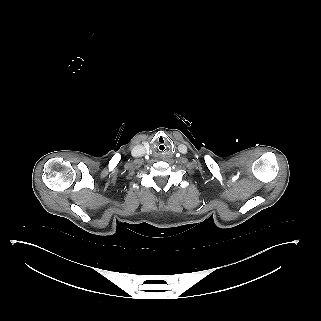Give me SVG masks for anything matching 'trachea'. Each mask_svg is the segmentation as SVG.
<instances>
[{
    "mask_svg": "<svg viewBox=\"0 0 321 321\" xmlns=\"http://www.w3.org/2000/svg\"><path fill=\"white\" fill-rule=\"evenodd\" d=\"M157 150H158L159 152H164V151L166 150V145H165L164 143H159V144L157 145Z\"/></svg>",
    "mask_w": 321,
    "mask_h": 321,
    "instance_id": "1",
    "label": "trachea"
}]
</instances>
